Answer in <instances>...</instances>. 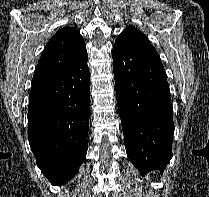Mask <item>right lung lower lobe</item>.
<instances>
[{"label":"right lung lower lobe","instance_id":"right-lung-lower-lobe-1","mask_svg":"<svg viewBox=\"0 0 209 197\" xmlns=\"http://www.w3.org/2000/svg\"><path fill=\"white\" fill-rule=\"evenodd\" d=\"M87 52L63 70L32 82L28 139L37 166L53 185L79 170L88 148L90 82Z\"/></svg>","mask_w":209,"mask_h":197}]
</instances>
